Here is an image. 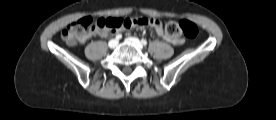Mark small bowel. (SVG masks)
I'll use <instances>...</instances> for the list:
<instances>
[{
    "label": "small bowel",
    "mask_w": 276,
    "mask_h": 120,
    "mask_svg": "<svg viewBox=\"0 0 276 120\" xmlns=\"http://www.w3.org/2000/svg\"><path fill=\"white\" fill-rule=\"evenodd\" d=\"M151 27L155 30L156 34L158 36L162 37L165 41H167L173 45H180L183 43V39L181 37H179V36L171 37V36L167 35L159 20H157V19L154 20L151 24ZM94 34H98L102 37H105V36H107L108 32L103 31V32L91 33V34L87 35L84 39H82L81 41L84 42V41L88 40Z\"/></svg>",
    "instance_id": "c3829d8e"
}]
</instances>
